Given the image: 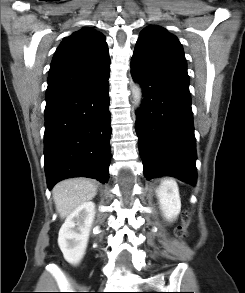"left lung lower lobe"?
Returning a JSON list of instances; mask_svg holds the SVG:
<instances>
[{
    "instance_id": "1",
    "label": "left lung lower lobe",
    "mask_w": 245,
    "mask_h": 293,
    "mask_svg": "<svg viewBox=\"0 0 245 293\" xmlns=\"http://www.w3.org/2000/svg\"><path fill=\"white\" fill-rule=\"evenodd\" d=\"M131 75L141 84L136 133L149 180L171 176L195 185L196 145L189 77L133 53Z\"/></svg>"
}]
</instances>
